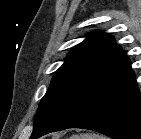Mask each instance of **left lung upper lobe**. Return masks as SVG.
Wrapping results in <instances>:
<instances>
[{
	"label": "left lung upper lobe",
	"mask_w": 141,
	"mask_h": 139,
	"mask_svg": "<svg viewBox=\"0 0 141 139\" xmlns=\"http://www.w3.org/2000/svg\"><path fill=\"white\" fill-rule=\"evenodd\" d=\"M110 35L92 32L91 37L75 46L65 63L56 71L51 85L37 109L31 137L38 134L59 108L90 75L121 52Z\"/></svg>",
	"instance_id": "left-lung-upper-lobe-1"
}]
</instances>
